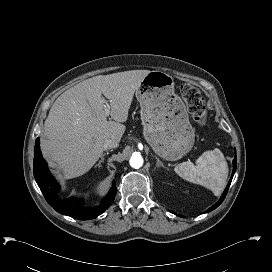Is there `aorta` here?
I'll use <instances>...</instances> for the list:
<instances>
[{
    "instance_id": "aorta-1",
    "label": "aorta",
    "mask_w": 272,
    "mask_h": 272,
    "mask_svg": "<svg viewBox=\"0 0 272 272\" xmlns=\"http://www.w3.org/2000/svg\"><path fill=\"white\" fill-rule=\"evenodd\" d=\"M129 163L132 168L138 169L143 165V158L139 154H133Z\"/></svg>"
}]
</instances>
